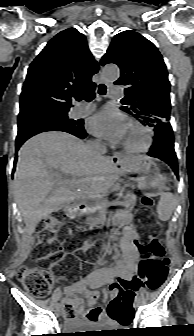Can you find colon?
Wrapping results in <instances>:
<instances>
[{
    "mask_svg": "<svg viewBox=\"0 0 194 336\" xmlns=\"http://www.w3.org/2000/svg\"><path fill=\"white\" fill-rule=\"evenodd\" d=\"M153 200L150 197L142 198V209L137 216V223L141 230L136 240V246L141 255L138 277L136 280L115 282L111 285V292L116 297H127L132 294L130 285L143 283L148 289H158L164 282L169 258L165 257L164 248L157 236L161 232L160 223L152 216ZM70 227L65 222L62 212H55L44 219L38 229V245L41 259H51L55 266H59L64 256V247L68 252L82 250L84 254L93 258L98 245L83 247L74 244L69 239ZM18 280L30 294L38 298L46 297L53 284V274L47 267H22L18 271ZM139 280V281H138ZM74 299L65 302L67 313L74 311ZM114 310H111L113 315Z\"/></svg>",
    "mask_w": 194,
    "mask_h": 336,
    "instance_id": "1",
    "label": "colon"
}]
</instances>
